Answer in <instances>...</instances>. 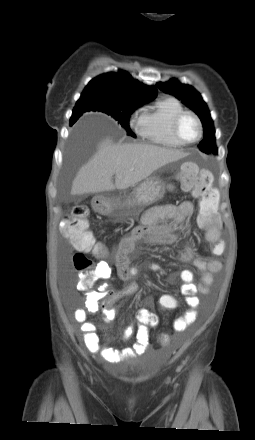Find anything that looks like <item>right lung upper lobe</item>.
<instances>
[{"instance_id": "cb5924a9", "label": "right lung upper lobe", "mask_w": 255, "mask_h": 440, "mask_svg": "<svg viewBox=\"0 0 255 440\" xmlns=\"http://www.w3.org/2000/svg\"><path fill=\"white\" fill-rule=\"evenodd\" d=\"M157 88L134 80L127 72L102 74L91 80L81 96H92L103 100L123 103L147 102L156 97ZM75 115L70 124L75 122Z\"/></svg>"}]
</instances>
